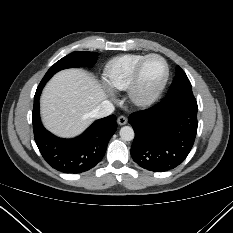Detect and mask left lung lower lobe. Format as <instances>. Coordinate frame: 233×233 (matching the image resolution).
Wrapping results in <instances>:
<instances>
[{"mask_svg":"<svg viewBox=\"0 0 233 233\" xmlns=\"http://www.w3.org/2000/svg\"><path fill=\"white\" fill-rule=\"evenodd\" d=\"M197 111L194 97L177 96L132 113L128 121L135 131L130 150L133 160L154 172L181 164L195 141Z\"/></svg>","mask_w":233,"mask_h":233,"instance_id":"1","label":"left lung lower lobe"}]
</instances>
